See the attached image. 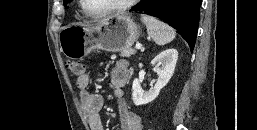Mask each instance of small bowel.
Returning a JSON list of instances; mask_svg holds the SVG:
<instances>
[{
    "label": "small bowel",
    "instance_id": "obj_1",
    "mask_svg": "<svg viewBox=\"0 0 257 130\" xmlns=\"http://www.w3.org/2000/svg\"><path fill=\"white\" fill-rule=\"evenodd\" d=\"M129 78V64L125 59L116 62L111 71V84L114 95L118 98V116L121 130H143L141 117L131 111L123 98L124 86ZM90 77L87 73L79 76L76 85L80 90V103L91 130H104L100 111L104 99L101 94L88 90Z\"/></svg>",
    "mask_w": 257,
    "mask_h": 130
}]
</instances>
